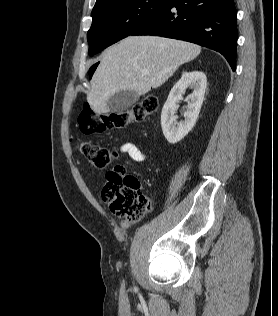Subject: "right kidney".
I'll use <instances>...</instances> for the list:
<instances>
[{
	"mask_svg": "<svg viewBox=\"0 0 278 316\" xmlns=\"http://www.w3.org/2000/svg\"><path fill=\"white\" fill-rule=\"evenodd\" d=\"M207 86L206 75L201 71L183 72L180 80L171 89L161 113L162 131L171 144L182 140L194 127L204 100ZM193 89L190 102L184 113L185 120L177 123L176 102L182 99L187 88Z\"/></svg>",
	"mask_w": 278,
	"mask_h": 316,
	"instance_id": "right-kidney-1",
	"label": "right kidney"
}]
</instances>
